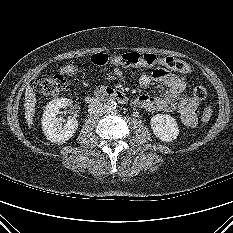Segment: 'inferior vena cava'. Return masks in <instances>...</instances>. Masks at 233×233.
<instances>
[{
	"label": "inferior vena cava",
	"mask_w": 233,
	"mask_h": 233,
	"mask_svg": "<svg viewBox=\"0 0 233 233\" xmlns=\"http://www.w3.org/2000/svg\"><path fill=\"white\" fill-rule=\"evenodd\" d=\"M88 112L94 117L101 116L105 112V104L99 101L91 102L88 105Z\"/></svg>",
	"instance_id": "obj_1"
}]
</instances>
